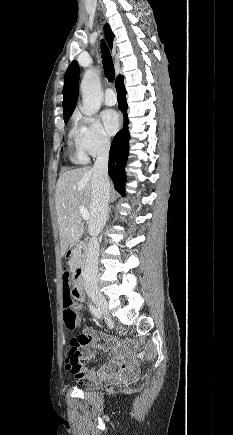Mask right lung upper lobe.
Returning a JSON list of instances; mask_svg holds the SVG:
<instances>
[{"instance_id":"right-lung-upper-lobe-1","label":"right lung upper lobe","mask_w":233,"mask_h":435,"mask_svg":"<svg viewBox=\"0 0 233 435\" xmlns=\"http://www.w3.org/2000/svg\"><path fill=\"white\" fill-rule=\"evenodd\" d=\"M106 38L110 47L112 48V42L114 39V35L110 29V26L106 24L104 26ZM79 67L76 61H73L64 76V87H63V109H64V117L71 116L73 113L77 99H78V83H79Z\"/></svg>"}]
</instances>
